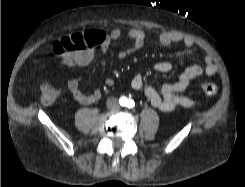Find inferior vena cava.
Listing matches in <instances>:
<instances>
[{
	"label": "inferior vena cava",
	"mask_w": 245,
	"mask_h": 187,
	"mask_svg": "<svg viewBox=\"0 0 245 187\" xmlns=\"http://www.w3.org/2000/svg\"><path fill=\"white\" fill-rule=\"evenodd\" d=\"M107 107L108 108H117L118 107V101L116 98H109L107 100Z\"/></svg>",
	"instance_id": "1"
}]
</instances>
